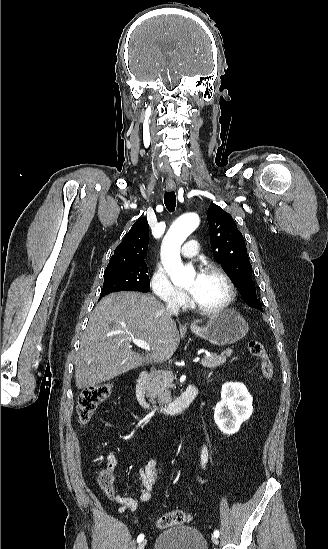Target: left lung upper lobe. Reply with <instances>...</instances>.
I'll use <instances>...</instances> for the list:
<instances>
[{
    "label": "left lung upper lobe",
    "mask_w": 328,
    "mask_h": 549,
    "mask_svg": "<svg viewBox=\"0 0 328 549\" xmlns=\"http://www.w3.org/2000/svg\"><path fill=\"white\" fill-rule=\"evenodd\" d=\"M208 223L216 261L237 286L245 302L249 306L259 304L245 241L235 221L221 207L212 204L208 210Z\"/></svg>",
    "instance_id": "5c2ea615"
}]
</instances>
